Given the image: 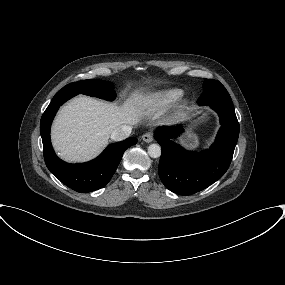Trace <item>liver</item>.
Returning a JSON list of instances; mask_svg holds the SVG:
<instances>
[{
    "label": "liver",
    "instance_id": "1",
    "mask_svg": "<svg viewBox=\"0 0 285 285\" xmlns=\"http://www.w3.org/2000/svg\"><path fill=\"white\" fill-rule=\"evenodd\" d=\"M149 106L140 93L122 105L78 96L64 105L52 126V143L58 155L69 162L87 161L108 144L112 131L123 125H137Z\"/></svg>",
    "mask_w": 285,
    "mask_h": 285
}]
</instances>
